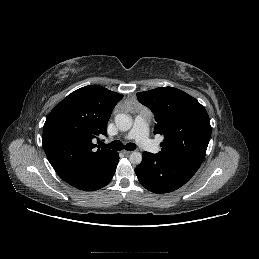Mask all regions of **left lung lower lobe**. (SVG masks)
I'll return each instance as SVG.
<instances>
[{
	"label": "left lung lower lobe",
	"instance_id": "0a47b994",
	"mask_svg": "<svg viewBox=\"0 0 259 259\" xmlns=\"http://www.w3.org/2000/svg\"><path fill=\"white\" fill-rule=\"evenodd\" d=\"M197 170L194 165L143 152L142 162L135 168V173L149 191L168 193L183 186Z\"/></svg>",
	"mask_w": 259,
	"mask_h": 259
}]
</instances>
